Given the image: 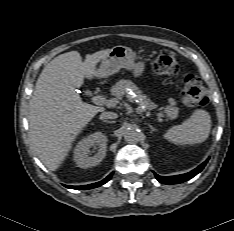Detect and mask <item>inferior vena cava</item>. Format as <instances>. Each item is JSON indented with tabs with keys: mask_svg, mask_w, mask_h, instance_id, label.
Listing matches in <instances>:
<instances>
[{
	"mask_svg": "<svg viewBox=\"0 0 234 231\" xmlns=\"http://www.w3.org/2000/svg\"><path fill=\"white\" fill-rule=\"evenodd\" d=\"M118 115L114 112H103L100 115V119H116Z\"/></svg>",
	"mask_w": 234,
	"mask_h": 231,
	"instance_id": "1",
	"label": "inferior vena cava"
}]
</instances>
